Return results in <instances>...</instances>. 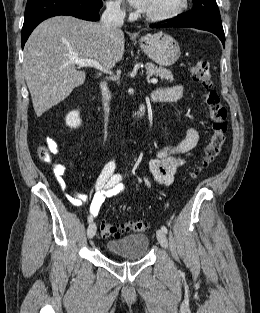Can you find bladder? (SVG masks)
<instances>
[{
	"mask_svg": "<svg viewBox=\"0 0 260 313\" xmlns=\"http://www.w3.org/2000/svg\"><path fill=\"white\" fill-rule=\"evenodd\" d=\"M149 237L138 233L107 242L106 249L110 254L121 256L128 261L144 258L149 247Z\"/></svg>",
	"mask_w": 260,
	"mask_h": 313,
	"instance_id": "bladder-1",
	"label": "bladder"
}]
</instances>
